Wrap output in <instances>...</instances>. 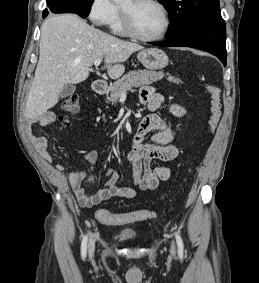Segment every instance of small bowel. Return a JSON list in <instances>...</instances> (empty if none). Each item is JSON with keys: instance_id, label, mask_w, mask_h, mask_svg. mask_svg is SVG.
Masks as SVG:
<instances>
[{"instance_id": "1", "label": "small bowel", "mask_w": 259, "mask_h": 283, "mask_svg": "<svg viewBox=\"0 0 259 283\" xmlns=\"http://www.w3.org/2000/svg\"><path fill=\"white\" fill-rule=\"evenodd\" d=\"M140 100L147 105L151 111L157 110L165 103L164 97L156 93L153 88L145 87L141 94ZM171 112L182 117L185 110L177 105H170ZM56 121V115L52 112H46L36 117L27 119L25 128L29 139L35 145L37 151L47 162H51L52 158L48 152V140L44 136H38L34 133L35 124L47 126ZM150 136V142L144 143V137ZM174 131L170 128L165 120L156 114H150L143 119L139 125L138 131L132 140L131 149L127 153L128 161L134 169L133 186H119L118 172L109 169L105 174V187L99 190L95 195L88 196L85 192L83 182L91 179L99 159L97 151H83V157L88 161L89 168L86 171L72 170L67 175L69 182L79 203L85 207H92L99 203L109 200L112 197H120L125 199H134L140 191L155 190L160 181H167L172 176L170 167L164 164L152 166V162L157 160L160 162H170L174 160L178 154V148L173 144ZM62 166H57V170L61 171Z\"/></svg>"}]
</instances>
